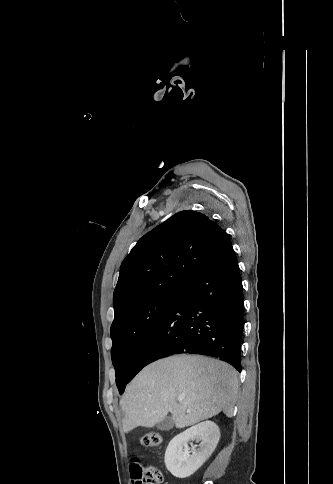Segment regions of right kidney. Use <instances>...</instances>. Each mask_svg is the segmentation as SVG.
<instances>
[{
	"label": "right kidney",
	"instance_id": "ca27d5eb",
	"mask_svg": "<svg viewBox=\"0 0 333 484\" xmlns=\"http://www.w3.org/2000/svg\"><path fill=\"white\" fill-rule=\"evenodd\" d=\"M219 438V427L212 421L199 423L175 436L165 452L167 470L177 478L190 477L211 456ZM189 440L199 442L198 448L190 450Z\"/></svg>",
	"mask_w": 333,
	"mask_h": 484
}]
</instances>
